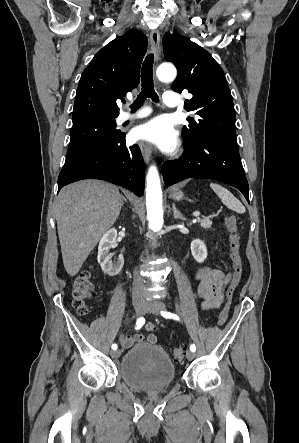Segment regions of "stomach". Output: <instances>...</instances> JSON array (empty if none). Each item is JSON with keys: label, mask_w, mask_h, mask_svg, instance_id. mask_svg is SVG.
Listing matches in <instances>:
<instances>
[{"label": "stomach", "mask_w": 299, "mask_h": 443, "mask_svg": "<svg viewBox=\"0 0 299 443\" xmlns=\"http://www.w3.org/2000/svg\"><path fill=\"white\" fill-rule=\"evenodd\" d=\"M171 196L174 200H181L183 197V193L179 190H173Z\"/></svg>", "instance_id": "0dacf381"}]
</instances>
